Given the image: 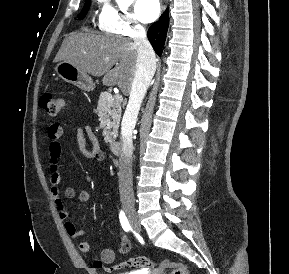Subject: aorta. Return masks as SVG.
Listing matches in <instances>:
<instances>
[{
	"mask_svg": "<svg viewBox=\"0 0 289 274\" xmlns=\"http://www.w3.org/2000/svg\"><path fill=\"white\" fill-rule=\"evenodd\" d=\"M132 0H116L120 6H128Z\"/></svg>",
	"mask_w": 289,
	"mask_h": 274,
	"instance_id": "aorta-1",
	"label": "aorta"
}]
</instances>
